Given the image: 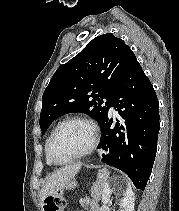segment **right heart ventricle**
<instances>
[{
  "label": "right heart ventricle",
  "instance_id": "right-heart-ventricle-1",
  "mask_svg": "<svg viewBox=\"0 0 179 211\" xmlns=\"http://www.w3.org/2000/svg\"><path fill=\"white\" fill-rule=\"evenodd\" d=\"M49 137H50V135L48 136V138L46 139V142H45V157H46V163H47V165L52 166L53 164L50 162V160H49V158L47 156V152H46L47 142H48Z\"/></svg>",
  "mask_w": 179,
  "mask_h": 211
}]
</instances>
